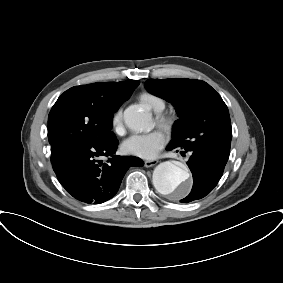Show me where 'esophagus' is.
I'll use <instances>...</instances> for the list:
<instances>
[{
  "label": "esophagus",
  "instance_id": "1",
  "mask_svg": "<svg viewBox=\"0 0 283 283\" xmlns=\"http://www.w3.org/2000/svg\"><path fill=\"white\" fill-rule=\"evenodd\" d=\"M158 163V160H147L144 162L145 167H152L155 166Z\"/></svg>",
  "mask_w": 283,
  "mask_h": 283
}]
</instances>
